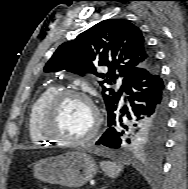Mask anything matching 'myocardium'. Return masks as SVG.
Here are the masks:
<instances>
[{
  "mask_svg": "<svg viewBox=\"0 0 188 189\" xmlns=\"http://www.w3.org/2000/svg\"><path fill=\"white\" fill-rule=\"evenodd\" d=\"M68 99H80L85 101L93 113L94 122L91 127V130L81 138H77V139L65 138L55 133L53 130L55 115L61 104ZM100 128H101V113L98 106L88 94L78 90L64 89L57 91L53 95V97L48 101L41 115L40 131L42 135L52 141L59 142L63 145L77 146V145L86 144L91 140H93L98 135Z\"/></svg>",
  "mask_w": 188,
  "mask_h": 189,
  "instance_id": "obj_1",
  "label": "myocardium"
}]
</instances>
